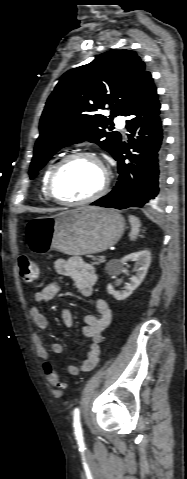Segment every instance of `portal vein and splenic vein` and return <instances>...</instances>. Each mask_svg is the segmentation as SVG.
I'll return each instance as SVG.
<instances>
[{"instance_id": "portal-vein-and-splenic-vein-1", "label": "portal vein and splenic vein", "mask_w": 187, "mask_h": 479, "mask_svg": "<svg viewBox=\"0 0 187 479\" xmlns=\"http://www.w3.org/2000/svg\"><path fill=\"white\" fill-rule=\"evenodd\" d=\"M102 259H105V256H101Z\"/></svg>"}]
</instances>
